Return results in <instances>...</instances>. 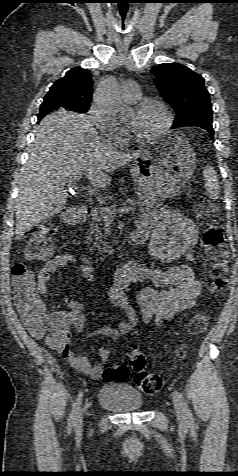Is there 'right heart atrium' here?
I'll return each mask as SVG.
<instances>
[{
	"instance_id": "d8ad5b80",
	"label": "right heart atrium",
	"mask_w": 238,
	"mask_h": 476,
	"mask_svg": "<svg viewBox=\"0 0 238 476\" xmlns=\"http://www.w3.org/2000/svg\"><path fill=\"white\" fill-rule=\"evenodd\" d=\"M87 114L90 122L107 139L119 141L124 137L125 130L121 126L109 122L96 105L92 104Z\"/></svg>"
}]
</instances>
